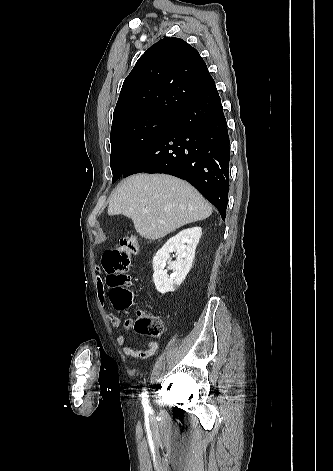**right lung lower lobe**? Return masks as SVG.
Instances as JSON below:
<instances>
[{
	"label": "right lung lower lobe",
	"mask_w": 333,
	"mask_h": 471,
	"mask_svg": "<svg viewBox=\"0 0 333 471\" xmlns=\"http://www.w3.org/2000/svg\"><path fill=\"white\" fill-rule=\"evenodd\" d=\"M229 143L227 122L214 85L177 112L171 125L136 157L122 177L145 172L187 180L225 220Z\"/></svg>",
	"instance_id": "98d812e1"
}]
</instances>
